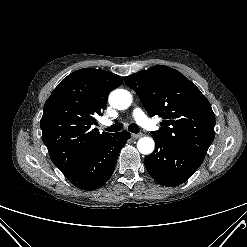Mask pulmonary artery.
Listing matches in <instances>:
<instances>
[{"instance_id": "pulmonary-artery-1", "label": "pulmonary artery", "mask_w": 247, "mask_h": 247, "mask_svg": "<svg viewBox=\"0 0 247 247\" xmlns=\"http://www.w3.org/2000/svg\"><path fill=\"white\" fill-rule=\"evenodd\" d=\"M134 119L144 128L149 130H154L156 127L152 123V121L144 114V112L140 108H135L133 110ZM105 126H109L112 124L111 121L106 120L103 122Z\"/></svg>"}]
</instances>
